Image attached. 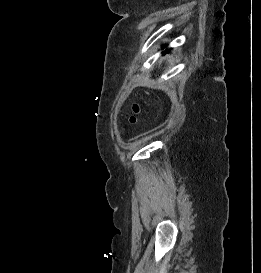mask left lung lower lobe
Instances as JSON below:
<instances>
[{
	"mask_svg": "<svg viewBox=\"0 0 261 273\" xmlns=\"http://www.w3.org/2000/svg\"><path fill=\"white\" fill-rule=\"evenodd\" d=\"M169 51H170V49H166L165 52H164V54L167 53V52H169Z\"/></svg>",
	"mask_w": 261,
	"mask_h": 273,
	"instance_id": "left-lung-lower-lobe-1",
	"label": "left lung lower lobe"
}]
</instances>
